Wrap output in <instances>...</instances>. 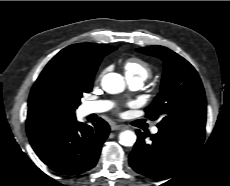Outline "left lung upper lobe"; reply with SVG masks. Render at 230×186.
Wrapping results in <instances>:
<instances>
[{
    "label": "left lung upper lobe",
    "instance_id": "1",
    "mask_svg": "<svg viewBox=\"0 0 230 186\" xmlns=\"http://www.w3.org/2000/svg\"><path fill=\"white\" fill-rule=\"evenodd\" d=\"M164 61L160 93L146 109V116L162 120L160 127L205 126V92L194 67L183 57L163 46L136 49Z\"/></svg>",
    "mask_w": 230,
    "mask_h": 186
}]
</instances>
